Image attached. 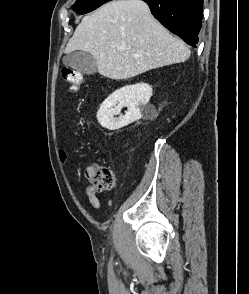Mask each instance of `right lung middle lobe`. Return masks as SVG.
Returning a JSON list of instances; mask_svg holds the SVG:
<instances>
[{
  "mask_svg": "<svg viewBox=\"0 0 249 294\" xmlns=\"http://www.w3.org/2000/svg\"><path fill=\"white\" fill-rule=\"evenodd\" d=\"M110 0H76L72 9L79 14H86L100 7Z\"/></svg>",
  "mask_w": 249,
  "mask_h": 294,
  "instance_id": "dd1d6c3e",
  "label": "right lung middle lobe"
}]
</instances>
